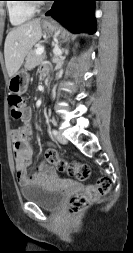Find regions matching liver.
<instances>
[{"label":"liver","instance_id":"obj_1","mask_svg":"<svg viewBox=\"0 0 133 253\" xmlns=\"http://www.w3.org/2000/svg\"><path fill=\"white\" fill-rule=\"evenodd\" d=\"M41 37L40 19L24 23L8 33L4 44V57L10 78L18 72L25 56Z\"/></svg>","mask_w":133,"mask_h":253}]
</instances>
